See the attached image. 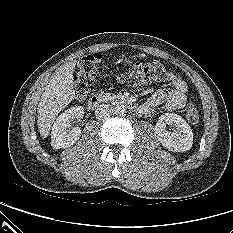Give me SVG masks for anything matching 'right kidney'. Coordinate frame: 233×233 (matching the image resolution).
I'll use <instances>...</instances> for the list:
<instances>
[{"label":"right kidney","instance_id":"obj_1","mask_svg":"<svg viewBox=\"0 0 233 233\" xmlns=\"http://www.w3.org/2000/svg\"><path fill=\"white\" fill-rule=\"evenodd\" d=\"M84 116V108L73 107L62 113L55 121L51 132V146L54 149L72 146L80 137L79 127H72V121H78Z\"/></svg>","mask_w":233,"mask_h":233}]
</instances>
